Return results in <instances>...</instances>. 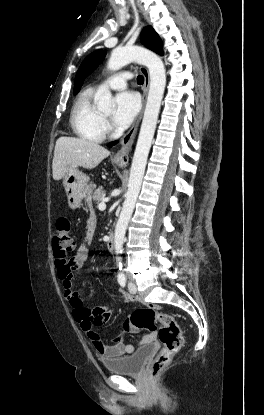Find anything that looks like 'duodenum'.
Masks as SVG:
<instances>
[{
    "instance_id": "410a0bca",
    "label": "duodenum",
    "mask_w": 264,
    "mask_h": 415,
    "mask_svg": "<svg viewBox=\"0 0 264 415\" xmlns=\"http://www.w3.org/2000/svg\"><path fill=\"white\" fill-rule=\"evenodd\" d=\"M92 227L96 225L95 218H92L89 222ZM106 247L109 252L113 253L115 251V238L114 235H109L106 239Z\"/></svg>"
}]
</instances>
